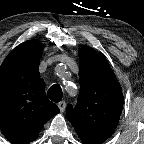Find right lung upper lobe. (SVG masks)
I'll return each instance as SVG.
<instances>
[{
  "label": "right lung upper lobe",
  "instance_id": "obj_1",
  "mask_svg": "<svg viewBox=\"0 0 144 144\" xmlns=\"http://www.w3.org/2000/svg\"><path fill=\"white\" fill-rule=\"evenodd\" d=\"M44 45H18L0 67V129L13 144L34 141L43 125L60 112L45 94L39 62Z\"/></svg>",
  "mask_w": 144,
  "mask_h": 144
}]
</instances>
